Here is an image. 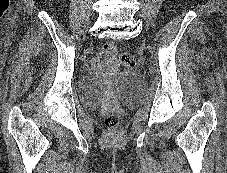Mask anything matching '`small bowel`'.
<instances>
[{
  "label": "small bowel",
  "mask_w": 227,
  "mask_h": 173,
  "mask_svg": "<svg viewBox=\"0 0 227 173\" xmlns=\"http://www.w3.org/2000/svg\"><path fill=\"white\" fill-rule=\"evenodd\" d=\"M96 60H99V56L96 57Z\"/></svg>",
  "instance_id": "c3829d8e"
}]
</instances>
